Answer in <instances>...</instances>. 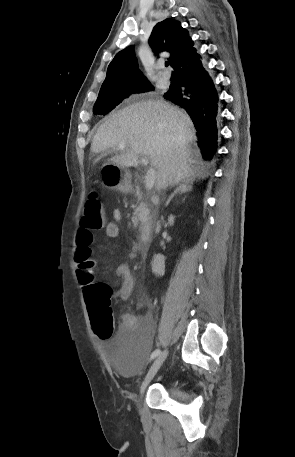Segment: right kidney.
<instances>
[{
    "label": "right kidney",
    "mask_w": 295,
    "mask_h": 457,
    "mask_svg": "<svg viewBox=\"0 0 295 457\" xmlns=\"http://www.w3.org/2000/svg\"><path fill=\"white\" fill-rule=\"evenodd\" d=\"M168 223L173 225L174 223V216L170 215L168 218ZM152 271L158 276H163L165 273V257L161 254H157L154 256L153 261L151 263Z\"/></svg>",
    "instance_id": "ca27d5eb"
}]
</instances>
